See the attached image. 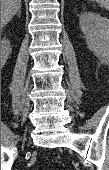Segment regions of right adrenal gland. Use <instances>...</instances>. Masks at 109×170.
Here are the masks:
<instances>
[{"label": "right adrenal gland", "instance_id": "obj_1", "mask_svg": "<svg viewBox=\"0 0 109 170\" xmlns=\"http://www.w3.org/2000/svg\"><path fill=\"white\" fill-rule=\"evenodd\" d=\"M21 15V7H20V9L18 10V16H20Z\"/></svg>", "mask_w": 109, "mask_h": 170}]
</instances>
